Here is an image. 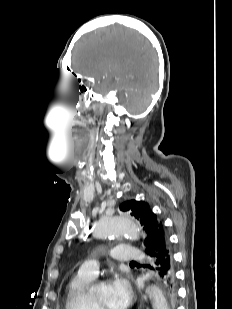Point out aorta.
I'll return each mask as SVG.
<instances>
[{
  "label": "aorta",
  "mask_w": 232,
  "mask_h": 309,
  "mask_svg": "<svg viewBox=\"0 0 232 309\" xmlns=\"http://www.w3.org/2000/svg\"><path fill=\"white\" fill-rule=\"evenodd\" d=\"M139 231V226L133 219L124 216H112L100 220L95 226L94 234L97 238L124 234L132 240H137ZM146 294L151 301L153 309H169L167 300L158 287L154 285L148 286Z\"/></svg>",
  "instance_id": "1"
}]
</instances>
